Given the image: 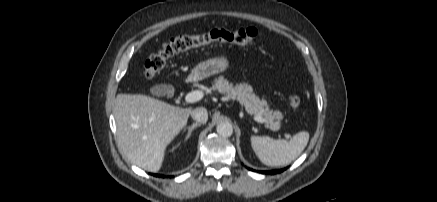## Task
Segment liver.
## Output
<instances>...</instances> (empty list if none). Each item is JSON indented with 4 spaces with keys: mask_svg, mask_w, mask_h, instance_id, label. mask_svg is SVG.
Returning <instances> with one entry per match:
<instances>
[{
    "mask_svg": "<svg viewBox=\"0 0 437 202\" xmlns=\"http://www.w3.org/2000/svg\"><path fill=\"white\" fill-rule=\"evenodd\" d=\"M113 111L123 154L144 170L157 172L167 145L186 126L192 108L172 106L142 94H118Z\"/></svg>",
    "mask_w": 437,
    "mask_h": 202,
    "instance_id": "obj_1",
    "label": "liver"
}]
</instances>
